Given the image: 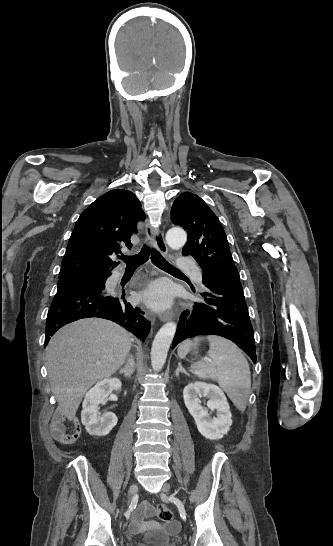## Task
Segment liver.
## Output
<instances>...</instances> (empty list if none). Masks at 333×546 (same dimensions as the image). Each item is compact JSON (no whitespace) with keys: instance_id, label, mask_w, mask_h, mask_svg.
Wrapping results in <instances>:
<instances>
[{"instance_id":"1","label":"liver","mask_w":333,"mask_h":546,"mask_svg":"<svg viewBox=\"0 0 333 546\" xmlns=\"http://www.w3.org/2000/svg\"><path fill=\"white\" fill-rule=\"evenodd\" d=\"M130 347L128 332L103 319H82L57 331L46 348V358L58 411L74 420L87 390L114 374Z\"/></svg>"}]
</instances>
